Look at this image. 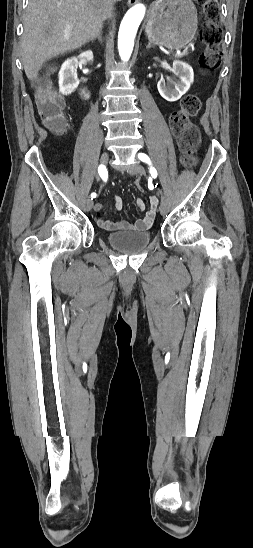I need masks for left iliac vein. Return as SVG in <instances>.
Returning a JSON list of instances; mask_svg holds the SVG:
<instances>
[{"label":"left iliac vein","instance_id":"obj_1","mask_svg":"<svg viewBox=\"0 0 253 548\" xmlns=\"http://www.w3.org/2000/svg\"><path fill=\"white\" fill-rule=\"evenodd\" d=\"M129 171L132 173V174H143L144 173V168L143 166L139 163V162H136L130 169ZM160 195H161V203H160V207H159V210H160V213L162 215H165L166 212H167V202H166V199H165V196L162 192H160Z\"/></svg>","mask_w":253,"mask_h":548}]
</instances>
